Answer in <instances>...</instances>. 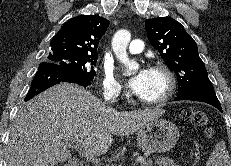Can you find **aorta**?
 Instances as JSON below:
<instances>
[{"label": "aorta", "mask_w": 231, "mask_h": 166, "mask_svg": "<svg viewBox=\"0 0 231 166\" xmlns=\"http://www.w3.org/2000/svg\"><path fill=\"white\" fill-rule=\"evenodd\" d=\"M131 34L127 30H119L112 39V48L117 59L126 67V74L130 75L139 68V64L130 60L127 54V46L130 42Z\"/></svg>", "instance_id": "obj_1"}]
</instances>
